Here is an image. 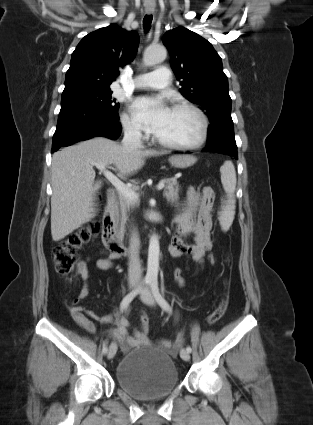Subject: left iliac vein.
Here are the masks:
<instances>
[{
	"label": "left iliac vein",
	"instance_id": "1",
	"mask_svg": "<svg viewBox=\"0 0 313 425\" xmlns=\"http://www.w3.org/2000/svg\"><path fill=\"white\" fill-rule=\"evenodd\" d=\"M140 298L147 305L152 306L155 303L154 298H153V296H152V294H151V292H150V290H149L148 287H145V288H143L141 290V292H140ZM180 356L185 361H188L190 359V353L186 349H184V348H182L180 350Z\"/></svg>",
	"mask_w": 313,
	"mask_h": 425
}]
</instances>
